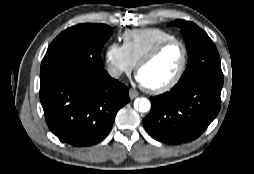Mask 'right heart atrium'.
Here are the masks:
<instances>
[{"label": "right heart atrium", "mask_w": 254, "mask_h": 174, "mask_svg": "<svg viewBox=\"0 0 254 174\" xmlns=\"http://www.w3.org/2000/svg\"><path fill=\"white\" fill-rule=\"evenodd\" d=\"M105 64L113 78H120L134 70L135 64L126 53L123 45L111 42L105 49Z\"/></svg>", "instance_id": "1"}]
</instances>
